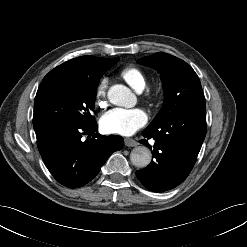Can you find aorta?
Wrapping results in <instances>:
<instances>
[{"mask_svg":"<svg viewBox=\"0 0 247 247\" xmlns=\"http://www.w3.org/2000/svg\"><path fill=\"white\" fill-rule=\"evenodd\" d=\"M108 99L117 106L131 107L135 103V95L124 85L116 84L110 87ZM132 164L138 168H145L151 161V152L145 146L135 147L130 154Z\"/></svg>","mask_w":247,"mask_h":247,"instance_id":"762f6f07","label":"aorta"}]
</instances>
